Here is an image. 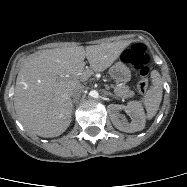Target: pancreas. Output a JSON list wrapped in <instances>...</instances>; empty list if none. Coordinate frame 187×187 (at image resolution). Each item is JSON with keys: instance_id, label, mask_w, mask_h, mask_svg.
Segmentation results:
<instances>
[{"instance_id": "1", "label": "pancreas", "mask_w": 187, "mask_h": 187, "mask_svg": "<svg viewBox=\"0 0 187 187\" xmlns=\"http://www.w3.org/2000/svg\"><path fill=\"white\" fill-rule=\"evenodd\" d=\"M114 92L116 96L122 98H130L134 96V92L130 90V88L124 84H119L114 87Z\"/></svg>"}]
</instances>
